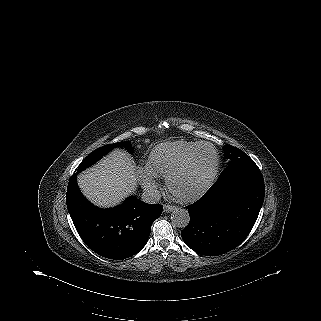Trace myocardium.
Listing matches in <instances>:
<instances>
[{"label":"myocardium","instance_id":"myocardium-1","mask_svg":"<svg viewBox=\"0 0 321 321\" xmlns=\"http://www.w3.org/2000/svg\"><path fill=\"white\" fill-rule=\"evenodd\" d=\"M202 147L211 148L214 153V157H215L213 172H212L209 180L205 183V185L203 187H201L199 190H197L189 195H181V194L176 193L172 188V183H173L174 178L188 168L194 155ZM218 169H219V155H218L217 150L215 149V147L211 143L201 142L179 164L175 165L167 173L166 178H165L167 190L174 198H176L180 201L187 202V201L195 200L196 198H198L199 196L204 194L212 186V184L214 183V181L217 177Z\"/></svg>","mask_w":321,"mask_h":321}]
</instances>
